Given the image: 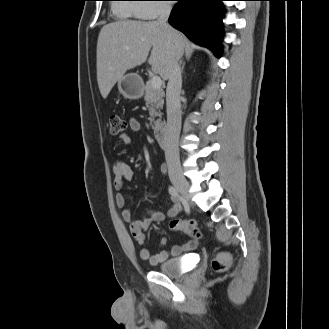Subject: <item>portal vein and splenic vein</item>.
<instances>
[{
    "label": "portal vein and splenic vein",
    "mask_w": 329,
    "mask_h": 329,
    "mask_svg": "<svg viewBox=\"0 0 329 329\" xmlns=\"http://www.w3.org/2000/svg\"><path fill=\"white\" fill-rule=\"evenodd\" d=\"M151 82V85L153 88L155 89H160L161 88V85H162V80L159 76L155 75L151 78L150 80Z\"/></svg>",
    "instance_id": "portal-vein-and-splenic-vein-1"
}]
</instances>
